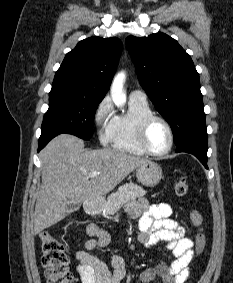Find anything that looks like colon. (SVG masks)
<instances>
[{"label": "colon", "instance_id": "1", "mask_svg": "<svg viewBox=\"0 0 233 283\" xmlns=\"http://www.w3.org/2000/svg\"><path fill=\"white\" fill-rule=\"evenodd\" d=\"M188 189V183L184 179H180L174 184V191L179 196L187 194ZM190 219L196 228L195 255H199L206 245L203 218L198 210H193ZM40 243L41 264L44 268L47 283H72L73 276L69 270L68 257L62 243L48 232L40 235Z\"/></svg>", "mask_w": 233, "mask_h": 283}]
</instances>
